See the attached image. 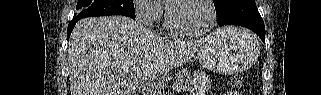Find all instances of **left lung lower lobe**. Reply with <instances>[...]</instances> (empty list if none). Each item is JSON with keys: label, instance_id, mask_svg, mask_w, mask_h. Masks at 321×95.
Masks as SVG:
<instances>
[{"label": "left lung lower lobe", "instance_id": "0a47b994", "mask_svg": "<svg viewBox=\"0 0 321 95\" xmlns=\"http://www.w3.org/2000/svg\"><path fill=\"white\" fill-rule=\"evenodd\" d=\"M217 16L219 26L232 24L247 27L265 43L264 22L254 0H230L217 12Z\"/></svg>", "mask_w": 321, "mask_h": 95}]
</instances>
